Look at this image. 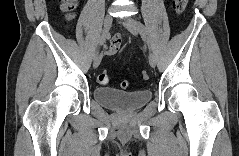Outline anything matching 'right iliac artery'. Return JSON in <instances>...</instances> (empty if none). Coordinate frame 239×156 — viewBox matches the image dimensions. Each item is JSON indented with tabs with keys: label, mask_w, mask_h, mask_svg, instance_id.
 Listing matches in <instances>:
<instances>
[{
	"label": "right iliac artery",
	"mask_w": 239,
	"mask_h": 156,
	"mask_svg": "<svg viewBox=\"0 0 239 156\" xmlns=\"http://www.w3.org/2000/svg\"><path fill=\"white\" fill-rule=\"evenodd\" d=\"M107 36L102 35L99 41V47L102 46L105 41H106ZM99 55V49H97V51L94 53V58L97 57Z\"/></svg>",
	"instance_id": "82829eb1"
}]
</instances>
